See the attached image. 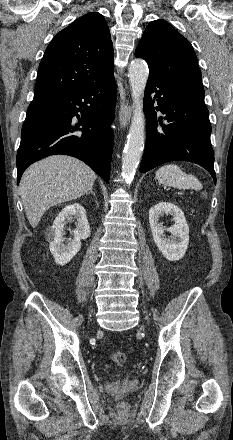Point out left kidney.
Returning a JSON list of instances; mask_svg holds the SVG:
<instances>
[{
	"label": "left kidney",
	"instance_id": "5707ae66",
	"mask_svg": "<svg viewBox=\"0 0 233 440\" xmlns=\"http://www.w3.org/2000/svg\"><path fill=\"white\" fill-rule=\"evenodd\" d=\"M164 214L173 216L174 225L164 228L159 223V218ZM149 223L153 240L158 249L169 261H178L184 257L189 244V226L182 210L173 203L160 202L149 211ZM164 231L171 233L166 238Z\"/></svg>",
	"mask_w": 233,
	"mask_h": 440
}]
</instances>
